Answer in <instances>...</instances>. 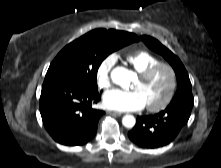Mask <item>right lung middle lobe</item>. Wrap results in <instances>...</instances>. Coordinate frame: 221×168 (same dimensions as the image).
Returning a JSON list of instances; mask_svg holds the SVG:
<instances>
[{
    "label": "right lung middle lobe",
    "mask_w": 221,
    "mask_h": 168,
    "mask_svg": "<svg viewBox=\"0 0 221 168\" xmlns=\"http://www.w3.org/2000/svg\"><path fill=\"white\" fill-rule=\"evenodd\" d=\"M134 42L125 34L104 29L88 32L65 46L51 63L45 79L75 81L97 89V71L112 52Z\"/></svg>",
    "instance_id": "1"
}]
</instances>
